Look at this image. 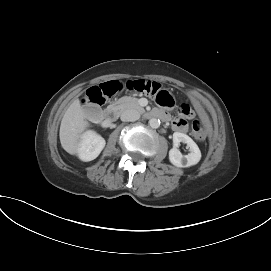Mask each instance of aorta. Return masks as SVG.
<instances>
[{
	"label": "aorta",
	"instance_id": "aorta-1",
	"mask_svg": "<svg viewBox=\"0 0 271 271\" xmlns=\"http://www.w3.org/2000/svg\"><path fill=\"white\" fill-rule=\"evenodd\" d=\"M149 125L151 128H158L160 126V120L159 119H156V118H151L149 120Z\"/></svg>",
	"mask_w": 271,
	"mask_h": 271
}]
</instances>
